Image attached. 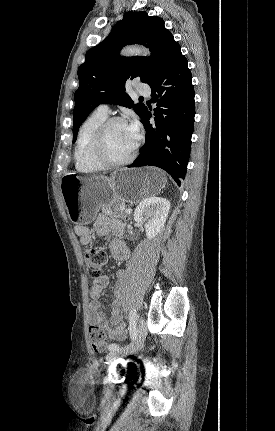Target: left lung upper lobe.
<instances>
[{"mask_svg": "<svg viewBox=\"0 0 275 431\" xmlns=\"http://www.w3.org/2000/svg\"><path fill=\"white\" fill-rule=\"evenodd\" d=\"M135 43L148 47L151 57L118 55L122 47ZM177 45L163 19L148 16L146 12L125 13L109 36L86 53L85 62L78 69L80 85L74 96L73 142L81 123L102 103L132 107L143 119L147 108L144 104H134L125 92V82L140 77L149 84L165 67Z\"/></svg>", "mask_w": 275, "mask_h": 431, "instance_id": "5c2ea615", "label": "left lung upper lobe"}]
</instances>
